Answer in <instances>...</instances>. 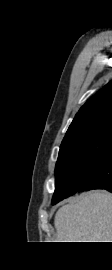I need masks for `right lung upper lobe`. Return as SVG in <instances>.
Listing matches in <instances>:
<instances>
[{
	"instance_id": "1",
	"label": "right lung upper lobe",
	"mask_w": 112,
	"mask_h": 270,
	"mask_svg": "<svg viewBox=\"0 0 112 270\" xmlns=\"http://www.w3.org/2000/svg\"><path fill=\"white\" fill-rule=\"evenodd\" d=\"M105 123H112V82L105 85L81 107L63 141Z\"/></svg>"
}]
</instances>
